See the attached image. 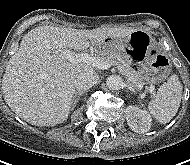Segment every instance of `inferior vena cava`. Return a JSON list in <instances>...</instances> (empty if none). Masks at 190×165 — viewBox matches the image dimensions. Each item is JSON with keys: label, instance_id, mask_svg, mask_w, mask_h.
<instances>
[{"label": "inferior vena cava", "instance_id": "obj_1", "mask_svg": "<svg viewBox=\"0 0 190 165\" xmlns=\"http://www.w3.org/2000/svg\"><path fill=\"white\" fill-rule=\"evenodd\" d=\"M99 80V75L94 71L80 73L75 80V87L79 91L91 88Z\"/></svg>", "mask_w": 190, "mask_h": 165}]
</instances>
